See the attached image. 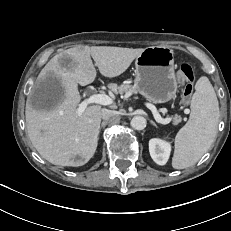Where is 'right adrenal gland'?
I'll use <instances>...</instances> for the list:
<instances>
[{
  "label": "right adrenal gland",
  "instance_id": "right-adrenal-gland-1",
  "mask_svg": "<svg viewBox=\"0 0 231 231\" xmlns=\"http://www.w3.org/2000/svg\"><path fill=\"white\" fill-rule=\"evenodd\" d=\"M107 123H108V120H105V121H103L102 123H101V128L103 127V128H105V126L107 125Z\"/></svg>",
  "mask_w": 231,
  "mask_h": 231
}]
</instances>
